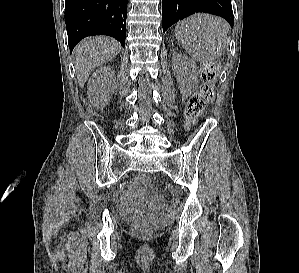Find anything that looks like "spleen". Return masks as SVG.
<instances>
[{"mask_svg": "<svg viewBox=\"0 0 299 273\" xmlns=\"http://www.w3.org/2000/svg\"><path fill=\"white\" fill-rule=\"evenodd\" d=\"M229 25L213 15L196 14L175 26V37L189 56L200 63L214 61L228 47Z\"/></svg>", "mask_w": 299, "mask_h": 273, "instance_id": "obj_1", "label": "spleen"}]
</instances>
